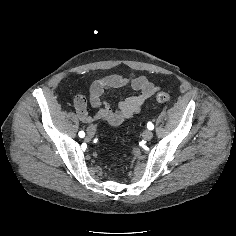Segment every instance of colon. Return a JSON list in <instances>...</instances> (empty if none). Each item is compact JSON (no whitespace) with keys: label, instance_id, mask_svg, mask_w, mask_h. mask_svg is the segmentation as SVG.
I'll list each match as a JSON object with an SVG mask.
<instances>
[{"label":"colon","instance_id":"obj_1","mask_svg":"<svg viewBox=\"0 0 236 236\" xmlns=\"http://www.w3.org/2000/svg\"><path fill=\"white\" fill-rule=\"evenodd\" d=\"M155 99L158 103H166L170 101L171 96L166 92H158L155 96Z\"/></svg>","mask_w":236,"mask_h":236}]
</instances>
